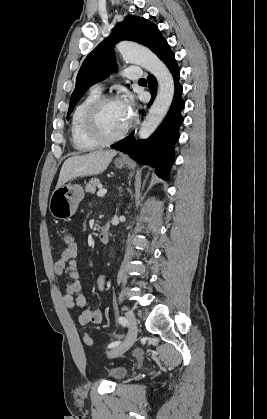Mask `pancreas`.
Masks as SVG:
<instances>
[{
    "label": "pancreas",
    "mask_w": 267,
    "mask_h": 419,
    "mask_svg": "<svg viewBox=\"0 0 267 419\" xmlns=\"http://www.w3.org/2000/svg\"><path fill=\"white\" fill-rule=\"evenodd\" d=\"M101 185L100 180L98 178H92L86 184L85 191L94 193L96 191V187Z\"/></svg>",
    "instance_id": "pancreas-1"
}]
</instances>
